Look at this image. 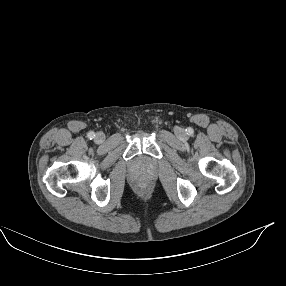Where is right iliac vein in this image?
<instances>
[{
  "label": "right iliac vein",
  "mask_w": 286,
  "mask_h": 286,
  "mask_svg": "<svg viewBox=\"0 0 286 286\" xmlns=\"http://www.w3.org/2000/svg\"><path fill=\"white\" fill-rule=\"evenodd\" d=\"M96 142L98 143H103L105 141V135L101 132L97 133L96 137Z\"/></svg>",
  "instance_id": "obj_1"
}]
</instances>
